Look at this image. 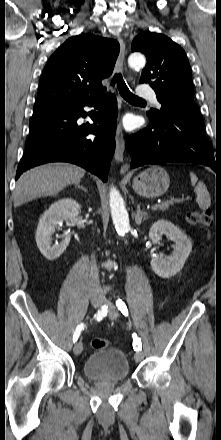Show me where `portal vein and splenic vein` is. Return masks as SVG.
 Listing matches in <instances>:
<instances>
[{
    "instance_id": "1",
    "label": "portal vein and splenic vein",
    "mask_w": 221,
    "mask_h": 440,
    "mask_svg": "<svg viewBox=\"0 0 221 440\" xmlns=\"http://www.w3.org/2000/svg\"><path fill=\"white\" fill-rule=\"evenodd\" d=\"M156 209H157V204L153 205L152 208H151V210H153V211L156 210Z\"/></svg>"
}]
</instances>
